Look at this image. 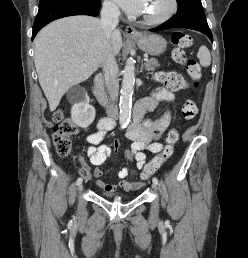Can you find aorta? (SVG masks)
I'll use <instances>...</instances> for the list:
<instances>
[{
    "label": "aorta",
    "mask_w": 248,
    "mask_h": 258,
    "mask_svg": "<svg viewBox=\"0 0 248 258\" xmlns=\"http://www.w3.org/2000/svg\"><path fill=\"white\" fill-rule=\"evenodd\" d=\"M135 84V67L131 60L126 62L119 103V123L121 128L127 127L131 117L132 95Z\"/></svg>",
    "instance_id": "aorta-1"
}]
</instances>
